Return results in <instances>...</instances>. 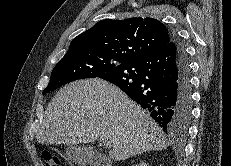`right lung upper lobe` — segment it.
I'll return each instance as SVG.
<instances>
[{"mask_svg":"<svg viewBox=\"0 0 231 166\" xmlns=\"http://www.w3.org/2000/svg\"><path fill=\"white\" fill-rule=\"evenodd\" d=\"M171 39L172 33L156 19H106L74 38L66 54L93 50L131 61L161 50Z\"/></svg>","mask_w":231,"mask_h":166,"instance_id":"1","label":"right lung upper lobe"}]
</instances>
